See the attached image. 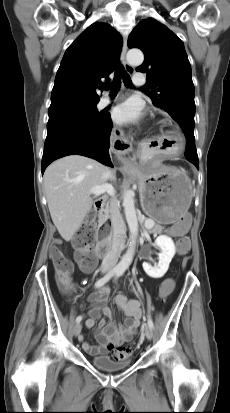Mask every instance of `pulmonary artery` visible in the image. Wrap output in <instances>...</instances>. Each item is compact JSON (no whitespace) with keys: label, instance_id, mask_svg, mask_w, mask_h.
Instances as JSON below:
<instances>
[{"label":"pulmonary artery","instance_id":"pulmonary-artery-1","mask_svg":"<svg viewBox=\"0 0 230 413\" xmlns=\"http://www.w3.org/2000/svg\"><path fill=\"white\" fill-rule=\"evenodd\" d=\"M133 82L136 85H143L146 82V77L142 73H136L133 76ZM114 101L113 97L105 96L99 100L98 107L104 108Z\"/></svg>","mask_w":230,"mask_h":413}]
</instances>
